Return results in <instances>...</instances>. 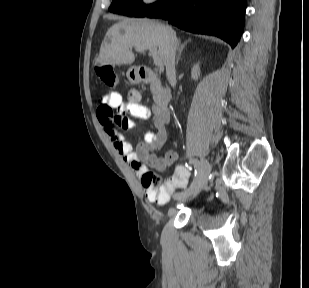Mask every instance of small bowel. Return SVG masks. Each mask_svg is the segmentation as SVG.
Listing matches in <instances>:
<instances>
[{
  "instance_id": "small-bowel-1",
  "label": "small bowel",
  "mask_w": 309,
  "mask_h": 288,
  "mask_svg": "<svg viewBox=\"0 0 309 288\" xmlns=\"http://www.w3.org/2000/svg\"><path fill=\"white\" fill-rule=\"evenodd\" d=\"M97 107L117 108L123 110L130 116L146 120L154 112V127L144 128V140L138 143L135 149L132 148L126 137L119 131V128L133 129L137 124L128 119L122 125H116L112 116L107 112L98 111V119L104 128L106 135L109 137L113 147L120 156L127 162L138 175L147 171V166L154 167L158 171H164L166 168L175 163L177 153L168 151L164 156L158 157L152 151L159 150L163 147L168 139L167 124L169 114L167 111L153 107L152 111L147 106L140 103V94L137 91H130L127 102H124L120 93L116 91L109 92L97 102ZM189 179V172L183 166L178 165L175 168L172 177L167 179L159 190H145V198L151 203L159 205L165 204L173 192L177 189L186 187Z\"/></svg>"
}]
</instances>
